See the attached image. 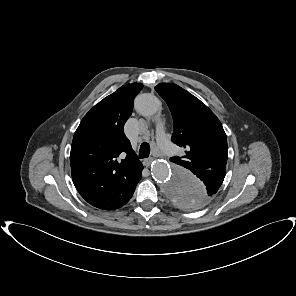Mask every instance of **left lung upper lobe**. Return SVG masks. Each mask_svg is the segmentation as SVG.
<instances>
[{
	"mask_svg": "<svg viewBox=\"0 0 296 296\" xmlns=\"http://www.w3.org/2000/svg\"><path fill=\"white\" fill-rule=\"evenodd\" d=\"M155 90L171 110L174 121L172 141L186 149L183 159L174 157L170 161L181 169H189L201 180L202 174L218 176L219 173L225 172L228 158L227 138L214 113L199 99L176 84L160 83ZM205 182L203 181L205 187L199 191H175L172 194L173 202L185 209L202 207L214 196L208 191ZM197 194L203 195V201L200 203L196 202Z\"/></svg>",
	"mask_w": 296,
	"mask_h": 296,
	"instance_id": "1",
	"label": "left lung upper lobe"
}]
</instances>
